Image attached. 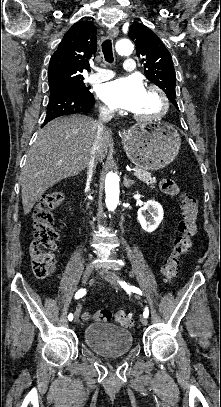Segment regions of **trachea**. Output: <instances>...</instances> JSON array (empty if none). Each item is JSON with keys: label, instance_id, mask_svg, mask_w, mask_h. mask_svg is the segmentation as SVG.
<instances>
[{"label": "trachea", "instance_id": "3493384b", "mask_svg": "<svg viewBox=\"0 0 221 407\" xmlns=\"http://www.w3.org/2000/svg\"><path fill=\"white\" fill-rule=\"evenodd\" d=\"M102 51L104 54V58L107 62L112 63L114 61L113 51H112V43L111 40L106 39L102 43Z\"/></svg>", "mask_w": 221, "mask_h": 407}]
</instances>
